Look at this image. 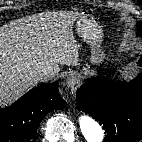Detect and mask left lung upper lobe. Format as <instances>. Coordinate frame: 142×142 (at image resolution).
<instances>
[{
  "label": "left lung upper lobe",
  "instance_id": "5c2ea615",
  "mask_svg": "<svg viewBox=\"0 0 142 142\" xmlns=\"http://www.w3.org/2000/svg\"><path fill=\"white\" fill-rule=\"evenodd\" d=\"M137 28H138V34H139L140 36H142V23H138V24H137Z\"/></svg>",
  "mask_w": 142,
  "mask_h": 142
}]
</instances>
